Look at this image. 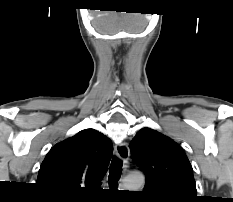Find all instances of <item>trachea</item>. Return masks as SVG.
<instances>
[{"label":"trachea","instance_id":"3493384b","mask_svg":"<svg viewBox=\"0 0 233 202\" xmlns=\"http://www.w3.org/2000/svg\"><path fill=\"white\" fill-rule=\"evenodd\" d=\"M123 162L118 158H113L109 170V185L114 187L121 176Z\"/></svg>","mask_w":233,"mask_h":202}]
</instances>
